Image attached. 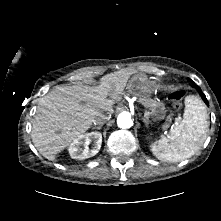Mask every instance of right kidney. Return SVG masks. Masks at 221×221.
<instances>
[{"instance_id":"obj_1","label":"right kidney","mask_w":221,"mask_h":221,"mask_svg":"<svg viewBox=\"0 0 221 221\" xmlns=\"http://www.w3.org/2000/svg\"><path fill=\"white\" fill-rule=\"evenodd\" d=\"M93 141V147L90 150L88 145ZM102 144V134L100 132H91L80 135L69 146L68 151L73 159L83 160L95 156ZM84 146V149L81 148Z\"/></svg>"}]
</instances>
